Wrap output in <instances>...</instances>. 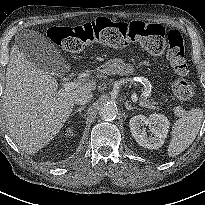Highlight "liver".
Returning a JSON list of instances; mask_svg holds the SVG:
<instances>
[{"label": "liver", "instance_id": "6515ba94", "mask_svg": "<svg viewBox=\"0 0 205 205\" xmlns=\"http://www.w3.org/2000/svg\"><path fill=\"white\" fill-rule=\"evenodd\" d=\"M58 83L47 71L35 66L14 44L6 70L3 115L10 136L27 153L47 145L69 118L75 96L92 91L94 79H82L72 90L57 91Z\"/></svg>", "mask_w": 205, "mask_h": 205}]
</instances>
